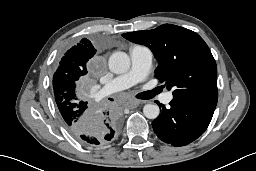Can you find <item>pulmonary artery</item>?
I'll list each match as a JSON object with an SVG mask.
<instances>
[{
  "label": "pulmonary artery",
  "instance_id": "pulmonary-artery-1",
  "mask_svg": "<svg viewBox=\"0 0 256 171\" xmlns=\"http://www.w3.org/2000/svg\"><path fill=\"white\" fill-rule=\"evenodd\" d=\"M131 58V68L126 73L115 77L103 89V95H109L132 87L142 81L152 65L153 53L150 48L142 45H135L129 51ZM172 100V94L167 92L163 102L168 104Z\"/></svg>",
  "mask_w": 256,
  "mask_h": 171
}]
</instances>
